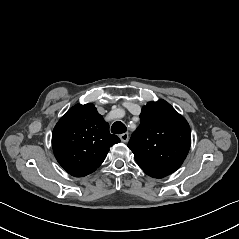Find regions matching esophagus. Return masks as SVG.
I'll return each mask as SVG.
<instances>
[{"label":"esophagus","instance_id":"1","mask_svg":"<svg viewBox=\"0 0 239 239\" xmlns=\"http://www.w3.org/2000/svg\"><path fill=\"white\" fill-rule=\"evenodd\" d=\"M119 137L122 142H127L129 139V133L128 132L122 133L119 135Z\"/></svg>","mask_w":239,"mask_h":239}]
</instances>
